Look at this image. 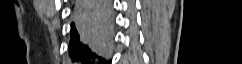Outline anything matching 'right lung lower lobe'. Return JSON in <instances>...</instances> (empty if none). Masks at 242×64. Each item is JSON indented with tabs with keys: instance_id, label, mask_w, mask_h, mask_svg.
Instances as JSON below:
<instances>
[{
	"instance_id": "1",
	"label": "right lung lower lobe",
	"mask_w": 242,
	"mask_h": 64,
	"mask_svg": "<svg viewBox=\"0 0 242 64\" xmlns=\"http://www.w3.org/2000/svg\"><path fill=\"white\" fill-rule=\"evenodd\" d=\"M113 40L110 0H78L73 10L69 56L72 64H105Z\"/></svg>"
}]
</instances>
